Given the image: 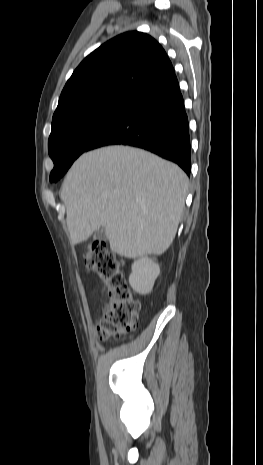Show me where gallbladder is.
<instances>
[{
	"mask_svg": "<svg viewBox=\"0 0 263 465\" xmlns=\"http://www.w3.org/2000/svg\"><path fill=\"white\" fill-rule=\"evenodd\" d=\"M94 240H107L106 231L104 228H100L93 235Z\"/></svg>",
	"mask_w": 263,
	"mask_h": 465,
	"instance_id": "obj_1",
	"label": "gallbladder"
}]
</instances>
